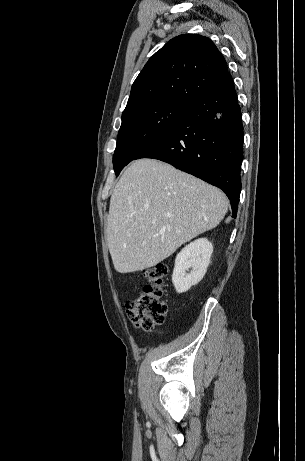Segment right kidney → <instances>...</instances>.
<instances>
[{"mask_svg": "<svg viewBox=\"0 0 305 461\" xmlns=\"http://www.w3.org/2000/svg\"><path fill=\"white\" fill-rule=\"evenodd\" d=\"M213 245L207 238L197 239L176 256L172 282L177 293H184L204 277L210 263ZM192 270L189 272V269Z\"/></svg>", "mask_w": 305, "mask_h": 461, "instance_id": "obj_1", "label": "right kidney"}]
</instances>
